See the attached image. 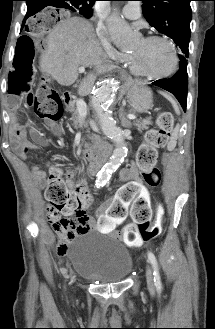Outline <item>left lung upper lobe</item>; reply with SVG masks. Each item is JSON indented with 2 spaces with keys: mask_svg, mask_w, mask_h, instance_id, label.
Listing matches in <instances>:
<instances>
[{
  "mask_svg": "<svg viewBox=\"0 0 215 329\" xmlns=\"http://www.w3.org/2000/svg\"><path fill=\"white\" fill-rule=\"evenodd\" d=\"M142 12L149 24L160 33L172 38L183 55L188 57L190 41L191 0H141Z\"/></svg>",
  "mask_w": 215,
  "mask_h": 329,
  "instance_id": "obj_1",
  "label": "left lung upper lobe"
}]
</instances>
